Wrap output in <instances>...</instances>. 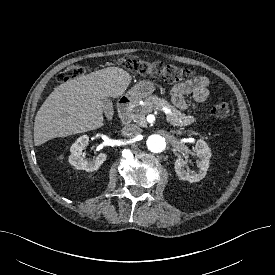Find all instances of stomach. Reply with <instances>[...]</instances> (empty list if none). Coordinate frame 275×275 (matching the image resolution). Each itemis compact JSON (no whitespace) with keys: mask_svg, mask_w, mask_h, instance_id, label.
<instances>
[{"mask_svg":"<svg viewBox=\"0 0 275 275\" xmlns=\"http://www.w3.org/2000/svg\"><path fill=\"white\" fill-rule=\"evenodd\" d=\"M155 90V86L151 81L143 80L136 83L127 93L131 100H140L151 95Z\"/></svg>","mask_w":275,"mask_h":275,"instance_id":"stomach-1","label":"stomach"}]
</instances>
